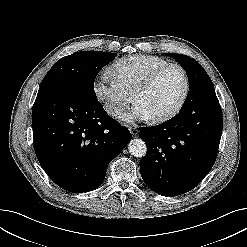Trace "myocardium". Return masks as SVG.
Masks as SVG:
<instances>
[{"mask_svg": "<svg viewBox=\"0 0 247 247\" xmlns=\"http://www.w3.org/2000/svg\"><path fill=\"white\" fill-rule=\"evenodd\" d=\"M170 68H177L181 71L183 78H184V89H183V92L178 102L175 104L173 108H171L169 111H167L164 114H161V115H158L152 118V120L155 122H164V121L169 120L170 118L174 117L182 109L183 105L185 104L187 97L189 95V91H190V79H189L186 69L182 65L177 64V63H168L164 66H161L157 68L156 70L152 71L144 80H142L137 85L132 95L134 102L137 103L138 96L142 92L147 90L163 72H165L166 70Z\"/></svg>", "mask_w": 247, "mask_h": 247, "instance_id": "myocardium-1", "label": "myocardium"}]
</instances>
